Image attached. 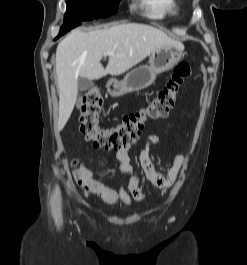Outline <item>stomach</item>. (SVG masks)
I'll list each match as a JSON object with an SVG mask.
<instances>
[{
    "label": "stomach",
    "mask_w": 247,
    "mask_h": 265,
    "mask_svg": "<svg viewBox=\"0 0 247 265\" xmlns=\"http://www.w3.org/2000/svg\"><path fill=\"white\" fill-rule=\"evenodd\" d=\"M184 47L181 45H165L154 50L148 65L139 66L126 74L123 80L110 79L107 82V91L112 97H121L125 94L139 91L154 83L156 76L172 69L182 57Z\"/></svg>",
    "instance_id": "obj_1"
}]
</instances>
